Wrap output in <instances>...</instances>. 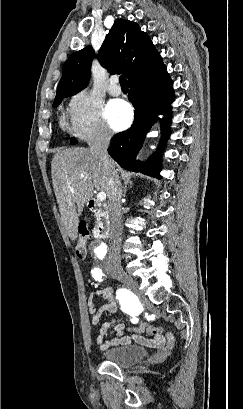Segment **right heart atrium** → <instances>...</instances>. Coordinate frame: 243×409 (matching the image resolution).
I'll list each match as a JSON object with an SVG mask.
<instances>
[{
  "label": "right heart atrium",
  "mask_w": 243,
  "mask_h": 409,
  "mask_svg": "<svg viewBox=\"0 0 243 409\" xmlns=\"http://www.w3.org/2000/svg\"><path fill=\"white\" fill-rule=\"evenodd\" d=\"M69 130L73 136L87 142L109 141L112 132L102 115V107L87 91L75 93L68 109Z\"/></svg>",
  "instance_id": "d8ad5b80"
}]
</instances>
